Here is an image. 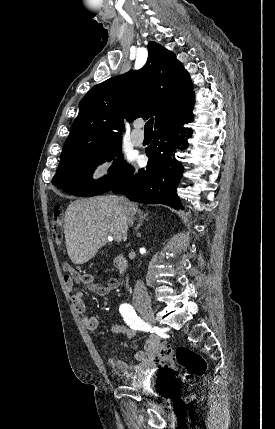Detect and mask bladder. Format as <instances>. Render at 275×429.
I'll return each mask as SVG.
<instances>
[{
  "mask_svg": "<svg viewBox=\"0 0 275 429\" xmlns=\"http://www.w3.org/2000/svg\"><path fill=\"white\" fill-rule=\"evenodd\" d=\"M130 385L136 387L143 398H178L174 377H147L143 381H132Z\"/></svg>",
  "mask_w": 275,
  "mask_h": 429,
  "instance_id": "obj_1",
  "label": "bladder"
}]
</instances>
